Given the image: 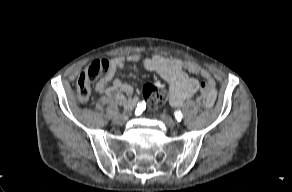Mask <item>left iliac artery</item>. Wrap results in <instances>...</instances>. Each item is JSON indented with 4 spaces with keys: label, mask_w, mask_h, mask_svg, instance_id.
Listing matches in <instances>:
<instances>
[{
    "label": "left iliac artery",
    "mask_w": 292,
    "mask_h": 192,
    "mask_svg": "<svg viewBox=\"0 0 292 192\" xmlns=\"http://www.w3.org/2000/svg\"><path fill=\"white\" fill-rule=\"evenodd\" d=\"M174 116H175V118L177 119V121H181L182 118H183V114H182V112L179 111V110H177V111L174 112Z\"/></svg>",
    "instance_id": "1"
}]
</instances>
